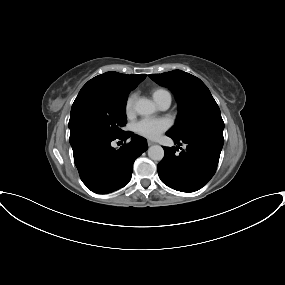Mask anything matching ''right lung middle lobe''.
<instances>
[{
	"mask_svg": "<svg viewBox=\"0 0 285 285\" xmlns=\"http://www.w3.org/2000/svg\"><path fill=\"white\" fill-rule=\"evenodd\" d=\"M127 95L84 92L75 99L69 120L70 143L89 135L119 137L125 133Z\"/></svg>",
	"mask_w": 285,
	"mask_h": 285,
	"instance_id": "right-lung-middle-lobe-1",
	"label": "right lung middle lobe"
}]
</instances>
